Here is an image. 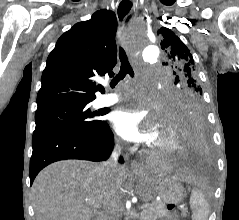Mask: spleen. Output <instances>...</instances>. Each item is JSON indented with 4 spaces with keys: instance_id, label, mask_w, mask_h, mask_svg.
Segmentation results:
<instances>
[{
    "instance_id": "spleen-1",
    "label": "spleen",
    "mask_w": 239,
    "mask_h": 220,
    "mask_svg": "<svg viewBox=\"0 0 239 220\" xmlns=\"http://www.w3.org/2000/svg\"><path fill=\"white\" fill-rule=\"evenodd\" d=\"M190 206L192 209V220H207L209 215L208 203L198 189L191 190Z\"/></svg>"
}]
</instances>
